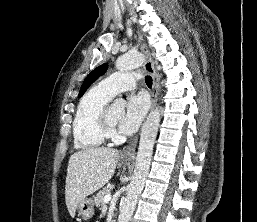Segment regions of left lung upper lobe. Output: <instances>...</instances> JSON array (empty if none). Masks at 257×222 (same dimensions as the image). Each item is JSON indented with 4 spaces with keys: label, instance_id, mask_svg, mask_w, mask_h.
Instances as JSON below:
<instances>
[{
    "label": "left lung upper lobe",
    "instance_id": "1",
    "mask_svg": "<svg viewBox=\"0 0 257 222\" xmlns=\"http://www.w3.org/2000/svg\"><path fill=\"white\" fill-rule=\"evenodd\" d=\"M108 68L107 64H102L99 67L95 68L84 80L79 95L78 97H81L85 91L88 89V87L95 81L98 79V77L102 76L106 70Z\"/></svg>",
    "mask_w": 257,
    "mask_h": 222
}]
</instances>
